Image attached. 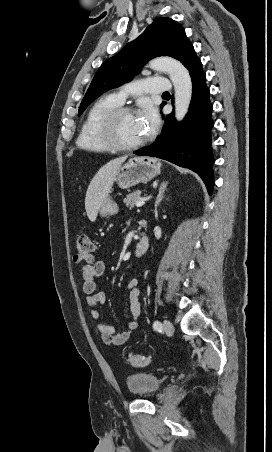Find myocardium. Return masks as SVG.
<instances>
[{
  "label": "myocardium",
  "mask_w": 272,
  "mask_h": 452,
  "mask_svg": "<svg viewBox=\"0 0 272 452\" xmlns=\"http://www.w3.org/2000/svg\"><path fill=\"white\" fill-rule=\"evenodd\" d=\"M124 114H134L130 107L118 106L107 111L101 118L99 123V130L104 142L111 150H133L142 146L146 139L143 138L134 143L122 142L117 136V122Z\"/></svg>",
  "instance_id": "obj_1"
}]
</instances>
